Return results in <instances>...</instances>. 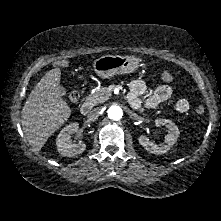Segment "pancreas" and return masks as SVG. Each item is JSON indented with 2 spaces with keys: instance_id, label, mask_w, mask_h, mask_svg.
Segmentation results:
<instances>
[{
  "instance_id": "pancreas-1",
  "label": "pancreas",
  "mask_w": 221,
  "mask_h": 221,
  "mask_svg": "<svg viewBox=\"0 0 221 221\" xmlns=\"http://www.w3.org/2000/svg\"><path fill=\"white\" fill-rule=\"evenodd\" d=\"M110 96L111 92L107 87H100L97 88L93 94H90L86 98V102L88 103V105L93 107L97 104L104 103L110 98Z\"/></svg>"
}]
</instances>
